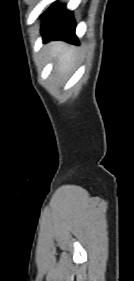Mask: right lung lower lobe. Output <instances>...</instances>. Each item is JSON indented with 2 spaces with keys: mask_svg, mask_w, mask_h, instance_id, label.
Returning <instances> with one entry per match:
<instances>
[{
  "mask_svg": "<svg viewBox=\"0 0 134 281\" xmlns=\"http://www.w3.org/2000/svg\"><path fill=\"white\" fill-rule=\"evenodd\" d=\"M41 32L44 42L64 40L70 43H78L72 12L66 10L65 6H53L44 13Z\"/></svg>",
  "mask_w": 134,
  "mask_h": 281,
  "instance_id": "right-lung-lower-lobe-1",
  "label": "right lung lower lobe"
}]
</instances>
